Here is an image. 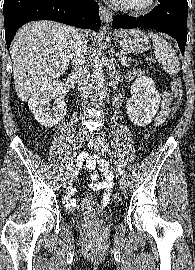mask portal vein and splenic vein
Masks as SVG:
<instances>
[{"label":"portal vein and splenic vein","instance_id":"obj_1","mask_svg":"<svg viewBox=\"0 0 195 270\" xmlns=\"http://www.w3.org/2000/svg\"><path fill=\"white\" fill-rule=\"evenodd\" d=\"M121 54L119 52L116 53V56H120Z\"/></svg>","mask_w":195,"mask_h":270}]
</instances>
